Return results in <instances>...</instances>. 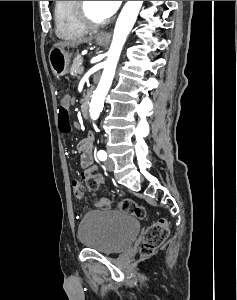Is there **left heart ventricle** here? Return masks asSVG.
<instances>
[{
    "instance_id": "left-heart-ventricle-1",
    "label": "left heart ventricle",
    "mask_w": 237,
    "mask_h": 300,
    "mask_svg": "<svg viewBox=\"0 0 237 300\" xmlns=\"http://www.w3.org/2000/svg\"><path fill=\"white\" fill-rule=\"evenodd\" d=\"M86 11L89 16L95 20H104L109 18L101 1H85Z\"/></svg>"
}]
</instances>
